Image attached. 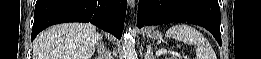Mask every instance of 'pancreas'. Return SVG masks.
<instances>
[{
	"label": "pancreas",
	"instance_id": "obj_1",
	"mask_svg": "<svg viewBox=\"0 0 261 59\" xmlns=\"http://www.w3.org/2000/svg\"><path fill=\"white\" fill-rule=\"evenodd\" d=\"M167 59V58H166ZM173 59H177V57H173Z\"/></svg>",
	"mask_w": 261,
	"mask_h": 59
}]
</instances>
